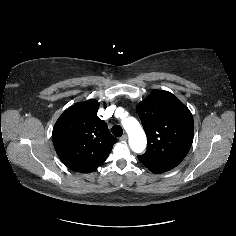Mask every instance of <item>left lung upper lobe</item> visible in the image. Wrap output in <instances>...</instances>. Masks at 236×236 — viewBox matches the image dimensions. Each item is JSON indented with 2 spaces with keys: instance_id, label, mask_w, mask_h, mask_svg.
Segmentation results:
<instances>
[{
  "instance_id": "left-lung-upper-lobe-1",
  "label": "left lung upper lobe",
  "mask_w": 236,
  "mask_h": 236,
  "mask_svg": "<svg viewBox=\"0 0 236 236\" xmlns=\"http://www.w3.org/2000/svg\"><path fill=\"white\" fill-rule=\"evenodd\" d=\"M148 138L147 151L138 156L150 171L166 172L187 155L194 123L189 109L168 91L157 90L137 105Z\"/></svg>"
}]
</instances>
